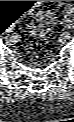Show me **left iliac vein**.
Returning <instances> with one entry per match:
<instances>
[{"label": "left iliac vein", "mask_w": 74, "mask_h": 122, "mask_svg": "<svg viewBox=\"0 0 74 122\" xmlns=\"http://www.w3.org/2000/svg\"><path fill=\"white\" fill-rule=\"evenodd\" d=\"M72 27H73V24H72V23L66 24V28H67V29H71Z\"/></svg>", "instance_id": "obj_1"}]
</instances>
